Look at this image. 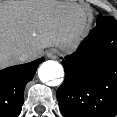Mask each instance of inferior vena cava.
<instances>
[{"label": "inferior vena cava", "mask_w": 117, "mask_h": 117, "mask_svg": "<svg viewBox=\"0 0 117 117\" xmlns=\"http://www.w3.org/2000/svg\"><path fill=\"white\" fill-rule=\"evenodd\" d=\"M33 52H32V50H26V51H24L22 54H21V56L22 57H27V56H29L30 54H32Z\"/></svg>", "instance_id": "inferior-vena-cava-1"}]
</instances>
